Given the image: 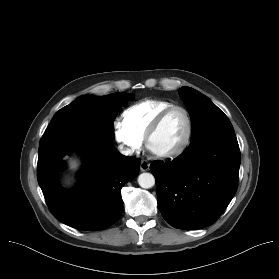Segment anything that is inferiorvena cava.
I'll use <instances>...</instances> for the list:
<instances>
[{"label":"inferior vena cava","mask_w":279,"mask_h":279,"mask_svg":"<svg viewBox=\"0 0 279 279\" xmlns=\"http://www.w3.org/2000/svg\"><path fill=\"white\" fill-rule=\"evenodd\" d=\"M120 152L121 154L128 156V155H132L133 154V150L130 148H125L123 146L120 147Z\"/></svg>","instance_id":"1"}]
</instances>
